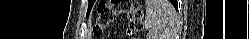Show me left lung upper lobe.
<instances>
[{
    "label": "left lung upper lobe",
    "mask_w": 249,
    "mask_h": 39,
    "mask_svg": "<svg viewBox=\"0 0 249 39\" xmlns=\"http://www.w3.org/2000/svg\"><path fill=\"white\" fill-rule=\"evenodd\" d=\"M93 3H94V1L89 0V8H88V11L91 9V7H92Z\"/></svg>",
    "instance_id": "left-lung-upper-lobe-1"
}]
</instances>
